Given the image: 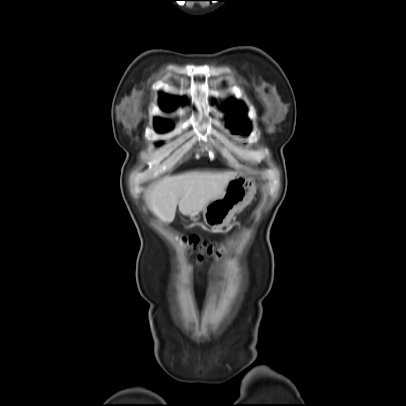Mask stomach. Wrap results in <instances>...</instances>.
<instances>
[{
  "mask_svg": "<svg viewBox=\"0 0 406 406\" xmlns=\"http://www.w3.org/2000/svg\"><path fill=\"white\" fill-rule=\"evenodd\" d=\"M256 193L253 178L237 174L226 185L223 193L210 201L202 210L205 224L213 229H221L231 222L234 214L245 208ZM199 213L192 214L191 220H199Z\"/></svg>",
  "mask_w": 406,
  "mask_h": 406,
  "instance_id": "1",
  "label": "stomach"
}]
</instances>
